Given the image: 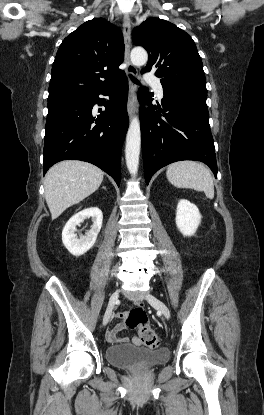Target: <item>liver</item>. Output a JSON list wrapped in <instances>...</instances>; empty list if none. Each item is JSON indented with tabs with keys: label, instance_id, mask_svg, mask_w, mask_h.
Wrapping results in <instances>:
<instances>
[{
	"label": "liver",
	"instance_id": "liver-1",
	"mask_svg": "<svg viewBox=\"0 0 264 415\" xmlns=\"http://www.w3.org/2000/svg\"><path fill=\"white\" fill-rule=\"evenodd\" d=\"M103 177L101 169L83 161L65 160L52 166L44 180L45 199L52 219L94 193Z\"/></svg>",
	"mask_w": 264,
	"mask_h": 415
}]
</instances>
